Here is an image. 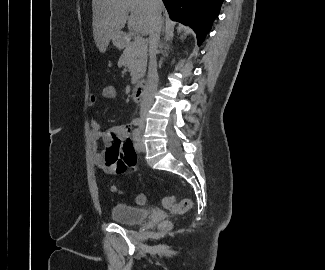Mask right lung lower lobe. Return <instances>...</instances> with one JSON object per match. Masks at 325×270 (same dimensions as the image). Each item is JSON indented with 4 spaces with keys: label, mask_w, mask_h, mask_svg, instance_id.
I'll list each match as a JSON object with an SVG mask.
<instances>
[{
    "label": "right lung lower lobe",
    "mask_w": 325,
    "mask_h": 270,
    "mask_svg": "<svg viewBox=\"0 0 325 270\" xmlns=\"http://www.w3.org/2000/svg\"><path fill=\"white\" fill-rule=\"evenodd\" d=\"M170 18L189 25L199 45L218 16L223 0H163Z\"/></svg>",
    "instance_id": "1"
}]
</instances>
